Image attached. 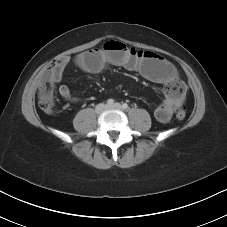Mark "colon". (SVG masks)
I'll return each instance as SVG.
<instances>
[{
	"instance_id": "1",
	"label": "colon",
	"mask_w": 227,
	"mask_h": 227,
	"mask_svg": "<svg viewBox=\"0 0 227 227\" xmlns=\"http://www.w3.org/2000/svg\"><path fill=\"white\" fill-rule=\"evenodd\" d=\"M60 63V60L54 62L53 66ZM53 82L46 77L39 86V107L45 113H51L54 107ZM177 120L182 121L186 117L184 107H178L175 112Z\"/></svg>"
}]
</instances>
